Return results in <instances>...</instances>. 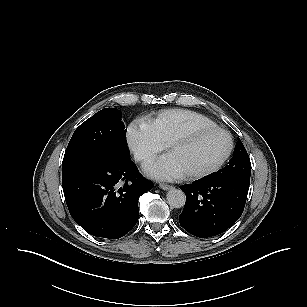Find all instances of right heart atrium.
Returning <instances> with one entry per match:
<instances>
[{"label": "right heart atrium", "mask_w": 307, "mask_h": 307, "mask_svg": "<svg viewBox=\"0 0 307 307\" xmlns=\"http://www.w3.org/2000/svg\"><path fill=\"white\" fill-rule=\"evenodd\" d=\"M127 145L136 162L142 167H149L162 150L144 123H132L126 132Z\"/></svg>", "instance_id": "obj_1"}]
</instances>
